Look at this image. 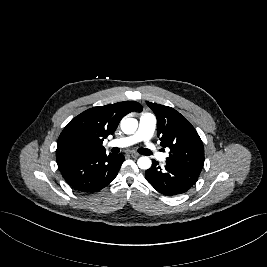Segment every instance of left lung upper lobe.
<instances>
[{
  "instance_id": "1",
  "label": "left lung upper lobe",
  "mask_w": 267,
  "mask_h": 267,
  "mask_svg": "<svg viewBox=\"0 0 267 267\" xmlns=\"http://www.w3.org/2000/svg\"><path fill=\"white\" fill-rule=\"evenodd\" d=\"M146 103L157 117L160 145L170 148L166 164L200 173L204 165V147L195 128L175 109Z\"/></svg>"
}]
</instances>
